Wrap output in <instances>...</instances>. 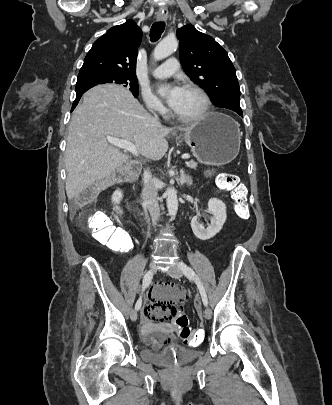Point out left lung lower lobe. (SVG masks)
<instances>
[{"instance_id":"left-lung-lower-lobe-1","label":"left lung lower lobe","mask_w":332,"mask_h":405,"mask_svg":"<svg viewBox=\"0 0 332 405\" xmlns=\"http://www.w3.org/2000/svg\"><path fill=\"white\" fill-rule=\"evenodd\" d=\"M236 113H238L240 116H242L243 112L242 109L239 107L235 110Z\"/></svg>"}]
</instances>
